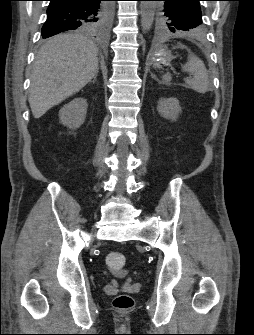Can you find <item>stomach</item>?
<instances>
[{
  "mask_svg": "<svg viewBox=\"0 0 254 335\" xmlns=\"http://www.w3.org/2000/svg\"><path fill=\"white\" fill-rule=\"evenodd\" d=\"M173 56L171 54V51H169L167 48H161L152 57V63L154 66L161 67V66H167L172 61Z\"/></svg>",
  "mask_w": 254,
  "mask_h": 335,
  "instance_id": "stomach-1",
  "label": "stomach"
}]
</instances>
